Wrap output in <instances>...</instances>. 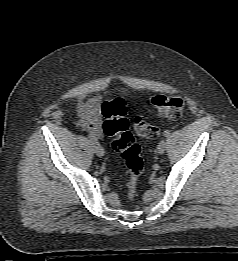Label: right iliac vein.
I'll list each match as a JSON object with an SVG mask.
<instances>
[{
  "label": "right iliac vein",
  "instance_id": "1",
  "mask_svg": "<svg viewBox=\"0 0 238 261\" xmlns=\"http://www.w3.org/2000/svg\"><path fill=\"white\" fill-rule=\"evenodd\" d=\"M94 152H95L96 155L99 156V157L104 156V153H105L103 147H102L99 143L94 144Z\"/></svg>",
  "mask_w": 238,
  "mask_h": 261
}]
</instances>
